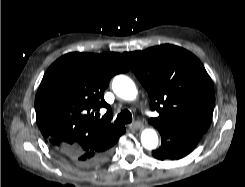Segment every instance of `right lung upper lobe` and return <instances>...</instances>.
<instances>
[{
  "label": "right lung upper lobe",
  "instance_id": "1",
  "mask_svg": "<svg viewBox=\"0 0 245 187\" xmlns=\"http://www.w3.org/2000/svg\"><path fill=\"white\" fill-rule=\"evenodd\" d=\"M129 70L122 55L68 53L46 71L35 98L36 119L43 137L56 151L87 147L91 138H113L124 126L94 115L101 107L111 110L103 98L110 79Z\"/></svg>",
  "mask_w": 245,
  "mask_h": 187
}]
</instances>
